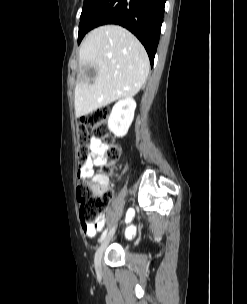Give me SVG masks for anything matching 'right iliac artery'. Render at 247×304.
Instances as JSON below:
<instances>
[{
	"label": "right iliac artery",
	"instance_id": "obj_1",
	"mask_svg": "<svg viewBox=\"0 0 247 304\" xmlns=\"http://www.w3.org/2000/svg\"><path fill=\"white\" fill-rule=\"evenodd\" d=\"M107 231H108V229L104 230V232L102 233V235L99 238V243H101L104 240L105 236L107 235Z\"/></svg>",
	"mask_w": 247,
	"mask_h": 304
}]
</instances>
